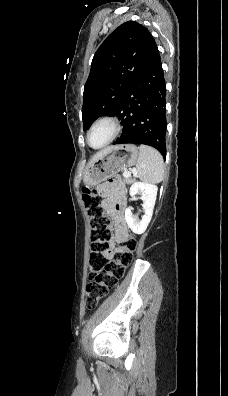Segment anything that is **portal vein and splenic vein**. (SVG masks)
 <instances>
[{"mask_svg":"<svg viewBox=\"0 0 228 396\" xmlns=\"http://www.w3.org/2000/svg\"><path fill=\"white\" fill-rule=\"evenodd\" d=\"M134 172H135V170H133ZM124 176H131V172H129V171H127V170H125V172H124Z\"/></svg>","mask_w":228,"mask_h":396,"instance_id":"obj_1","label":"portal vein and splenic vein"}]
</instances>
